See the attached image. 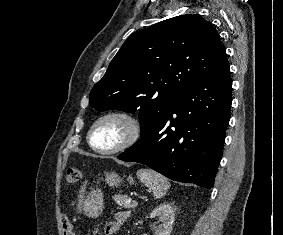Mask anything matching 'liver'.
<instances>
[{
    "label": "liver",
    "instance_id": "obj_1",
    "mask_svg": "<svg viewBox=\"0 0 283 235\" xmlns=\"http://www.w3.org/2000/svg\"><path fill=\"white\" fill-rule=\"evenodd\" d=\"M80 192H81V193H82V192H84V187L81 189V191H80Z\"/></svg>",
    "mask_w": 283,
    "mask_h": 235
}]
</instances>
